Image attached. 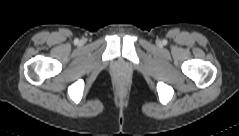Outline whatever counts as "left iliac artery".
Wrapping results in <instances>:
<instances>
[{
	"mask_svg": "<svg viewBox=\"0 0 239 136\" xmlns=\"http://www.w3.org/2000/svg\"><path fill=\"white\" fill-rule=\"evenodd\" d=\"M163 44H164V45L167 44V41H166V40H163Z\"/></svg>",
	"mask_w": 239,
	"mask_h": 136,
	"instance_id": "left-iliac-artery-1",
	"label": "left iliac artery"
}]
</instances>
